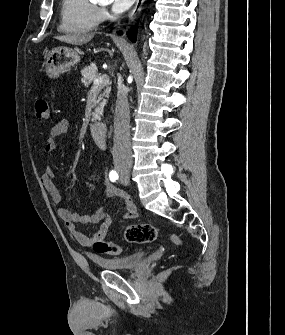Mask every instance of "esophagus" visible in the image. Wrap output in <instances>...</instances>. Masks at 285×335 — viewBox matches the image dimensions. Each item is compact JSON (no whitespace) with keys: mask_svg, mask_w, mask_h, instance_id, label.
I'll return each mask as SVG.
<instances>
[{"mask_svg":"<svg viewBox=\"0 0 285 335\" xmlns=\"http://www.w3.org/2000/svg\"><path fill=\"white\" fill-rule=\"evenodd\" d=\"M143 2H144V0H137L134 8L129 13V19L130 20H133V18L135 17V15L140 11Z\"/></svg>","mask_w":285,"mask_h":335,"instance_id":"esophagus-1","label":"esophagus"}]
</instances>
